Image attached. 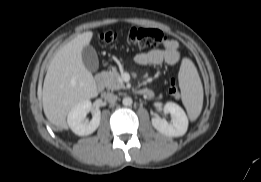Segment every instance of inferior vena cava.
I'll use <instances>...</instances> for the list:
<instances>
[{
    "label": "inferior vena cava",
    "instance_id": "1",
    "mask_svg": "<svg viewBox=\"0 0 261 182\" xmlns=\"http://www.w3.org/2000/svg\"><path fill=\"white\" fill-rule=\"evenodd\" d=\"M103 98L109 103H115L118 97L113 93H104Z\"/></svg>",
    "mask_w": 261,
    "mask_h": 182
}]
</instances>
